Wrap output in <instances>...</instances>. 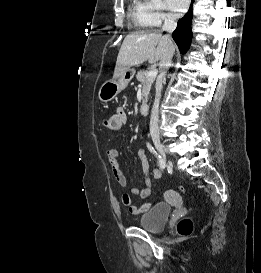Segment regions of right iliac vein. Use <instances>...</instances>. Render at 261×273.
<instances>
[{
    "label": "right iliac vein",
    "mask_w": 261,
    "mask_h": 273,
    "mask_svg": "<svg viewBox=\"0 0 261 273\" xmlns=\"http://www.w3.org/2000/svg\"><path fill=\"white\" fill-rule=\"evenodd\" d=\"M153 143L159 154L161 155L162 159L164 162H167V156H166V151L164 149V146L162 145L159 137L154 136L153 137Z\"/></svg>",
    "instance_id": "63e3f726"
}]
</instances>
